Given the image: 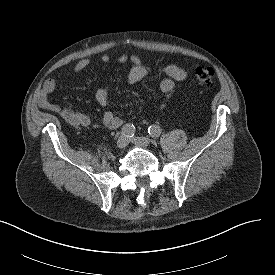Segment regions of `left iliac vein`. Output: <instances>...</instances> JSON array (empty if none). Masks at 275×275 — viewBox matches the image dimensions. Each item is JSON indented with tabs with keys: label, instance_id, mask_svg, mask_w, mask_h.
<instances>
[{
	"label": "left iliac vein",
	"instance_id": "4c4485c4",
	"mask_svg": "<svg viewBox=\"0 0 275 275\" xmlns=\"http://www.w3.org/2000/svg\"><path fill=\"white\" fill-rule=\"evenodd\" d=\"M131 142L142 148H148L151 144L150 139L147 137H134Z\"/></svg>",
	"mask_w": 275,
	"mask_h": 275
}]
</instances>
